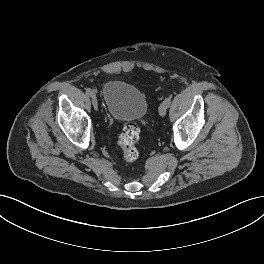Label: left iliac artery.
Instances as JSON below:
<instances>
[{
    "mask_svg": "<svg viewBox=\"0 0 264 264\" xmlns=\"http://www.w3.org/2000/svg\"><path fill=\"white\" fill-rule=\"evenodd\" d=\"M164 102L169 106L171 103V97L165 98Z\"/></svg>",
    "mask_w": 264,
    "mask_h": 264,
    "instance_id": "obj_1",
    "label": "left iliac artery"
}]
</instances>
